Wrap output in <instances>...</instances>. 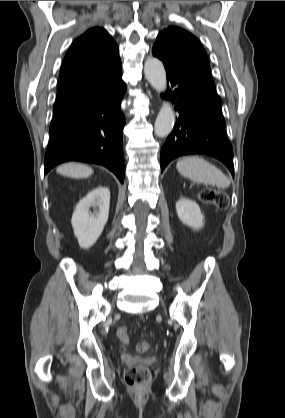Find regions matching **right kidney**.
<instances>
[{
  "label": "right kidney",
  "mask_w": 285,
  "mask_h": 418,
  "mask_svg": "<svg viewBox=\"0 0 285 418\" xmlns=\"http://www.w3.org/2000/svg\"><path fill=\"white\" fill-rule=\"evenodd\" d=\"M91 207L98 211L90 212ZM110 190L98 187L79 201L72 216V227L79 246L90 248L100 237L109 217Z\"/></svg>",
  "instance_id": "ca27d5eb"
}]
</instances>
